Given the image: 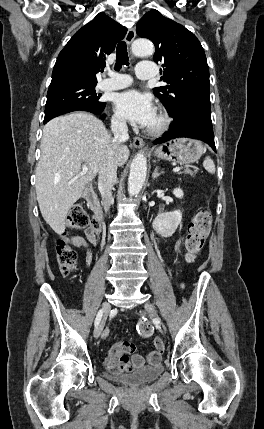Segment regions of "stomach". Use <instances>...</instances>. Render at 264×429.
I'll list each match as a JSON object with an SVG mask.
<instances>
[{"label": "stomach", "instance_id": "stomach-1", "mask_svg": "<svg viewBox=\"0 0 264 429\" xmlns=\"http://www.w3.org/2000/svg\"><path fill=\"white\" fill-rule=\"evenodd\" d=\"M204 148L199 140L177 138L166 142L154 150V155L161 160L190 164L197 161Z\"/></svg>", "mask_w": 264, "mask_h": 429}]
</instances>
